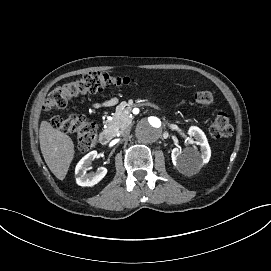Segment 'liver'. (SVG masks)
I'll return each instance as SVG.
<instances>
[{
    "instance_id": "6515ba94",
    "label": "liver",
    "mask_w": 271,
    "mask_h": 271,
    "mask_svg": "<svg viewBox=\"0 0 271 271\" xmlns=\"http://www.w3.org/2000/svg\"><path fill=\"white\" fill-rule=\"evenodd\" d=\"M39 142L47 166L59 180H63L74 153L71 139L43 121L39 128Z\"/></svg>"
}]
</instances>
